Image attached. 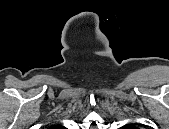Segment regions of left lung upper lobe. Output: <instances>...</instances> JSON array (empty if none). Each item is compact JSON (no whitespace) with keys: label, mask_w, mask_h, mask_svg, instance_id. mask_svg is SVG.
Here are the masks:
<instances>
[{"label":"left lung upper lobe","mask_w":169,"mask_h":129,"mask_svg":"<svg viewBox=\"0 0 169 129\" xmlns=\"http://www.w3.org/2000/svg\"><path fill=\"white\" fill-rule=\"evenodd\" d=\"M126 129H134V126L132 124L126 125Z\"/></svg>","instance_id":"1"}]
</instances>
